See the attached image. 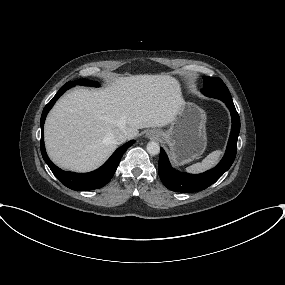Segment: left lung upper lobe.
<instances>
[{
	"mask_svg": "<svg viewBox=\"0 0 285 285\" xmlns=\"http://www.w3.org/2000/svg\"><path fill=\"white\" fill-rule=\"evenodd\" d=\"M204 88L202 93L207 96L222 100L223 102H233L228 88L218 77L204 76Z\"/></svg>",
	"mask_w": 285,
	"mask_h": 285,
	"instance_id": "1",
	"label": "left lung upper lobe"
}]
</instances>
